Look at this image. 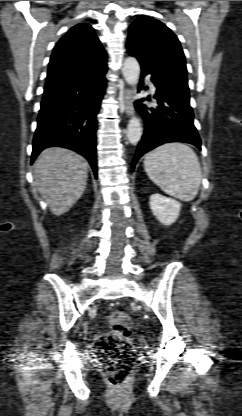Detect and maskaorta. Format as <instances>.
Masks as SVG:
<instances>
[{"mask_svg": "<svg viewBox=\"0 0 242 416\" xmlns=\"http://www.w3.org/2000/svg\"><path fill=\"white\" fill-rule=\"evenodd\" d=\"M123 76L125 81L131 85L135 86L138 83L140 75V65L136 58L128 57L125 59L123 68ZM142 136V127L138 118L132 117L127 126V138L129 142L133 145H136Z\"/></svg>", "mask_w": 242, "mask_h": 416, "instance_id": "762f6f07", "label": "aorta"}]
</instances>
